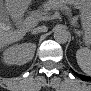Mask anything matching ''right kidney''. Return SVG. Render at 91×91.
Instances as JSON below:
<instances>
[{"label":"right kidney","mask_w":91,"mask_h":91,"mask_svg":"<svg viewBox=\"0 0 91 91\" xmlns=\"http://www.w3.org/2000/svg\"><path fill=\"white\" fill-rule=\"evenodd\" d=\"M36 45L32 43H23L13 45L3 52V61L8 65H22L29 61L34 55Z\"/></svg>","instance_id":"1"}]
</instances>
